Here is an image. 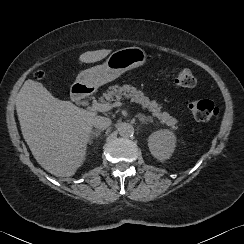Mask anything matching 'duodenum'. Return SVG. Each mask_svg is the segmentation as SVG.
<instances>
[{"instance_id":"obj_1","label":"duodenum","mask_w":244,"mask_h":244,"mask_svg":"<svg viewBox=\"0 0 244 244\" xmlns=\"http://www.w3.org/2000/svg\"><path fill=\"white\" fill-rule=\"evenodd\" d=\"M92 90L84 84H76L72 88V98L76 102H86Z\"/></svg>"}]
</instances>
